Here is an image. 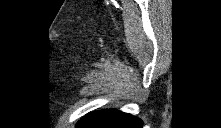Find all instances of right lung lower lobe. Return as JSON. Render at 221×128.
<instances>
[{
  "instance_id": "obj_1",
  "label": "right lung lower lobe",
  "mask_w": 221,
  "mask_h": 128,
  "mask_svg": "<svg viewBox=\"0 0 221 128\" xmlns=\"http://www.w3.org/2000/svg\"><path fill=\"white\" fill-rule=\"evenodd\" d=\"M77 128H142V121L118 110H100L86 115Z\"/></svg>"
}]
</instances>
